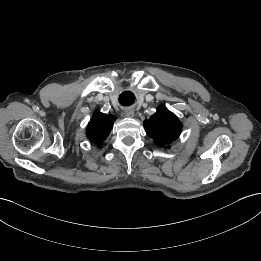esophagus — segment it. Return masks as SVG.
Masks as SVG:
<instances>
[{
  "instance_id": "obj_1",
  "label": "esophagus",
  "mask_w": 261,
  "mask_h": 261,
  "mask_svg": "<svg viewBox=\"0 0 261 261\" xmlns=\"http://www.w3.org/2000/svg\"><path fill=\"white\" fill-rule=\"evenodd\" d=\"M124 114L128 118H132L134 116V110L131 108H127L125 109Z\"/></svg>"
}]
</instances>
